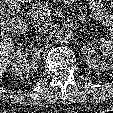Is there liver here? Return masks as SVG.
Masks as SVG:
<instances>
[{
  "mask_svg": "<svg viewBox=\"0 0 113 113\" xmlns=\"http://www.w3.org/2000/svg\"><path fill=\"white\" fill-rule=\"evenodd\" d=\"M4 9L0 6V80L11 64L15 51L14 41L9 37L10 23L3 17Z\"/></svg>",
  "mask_w": 113,
  "mask_h": 113,
  "instance_id": "6515ba94",
  "label": "liver"
}]
</instances>
